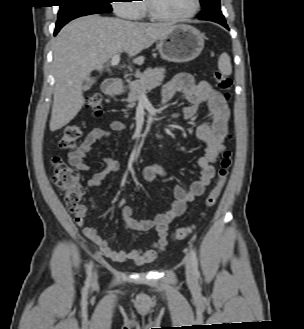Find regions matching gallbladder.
<instances>
[{
  "label": "gallbladder",
  "instance_id": "obj_1",
  "mask_svg": "<svg viewBox=\"0 0 304 329\" xmlns=\"http://www.w3.org/2000/svg\"><path fill=\"white\" fill-rule=\"evenodd\" d=\"M94 83V79H90L89 81H87L83 86H82V91H87L91 88V86Z\"/></svg>",
  "mask_w": 304,
  "mask_h": 329
}]
</instances>
